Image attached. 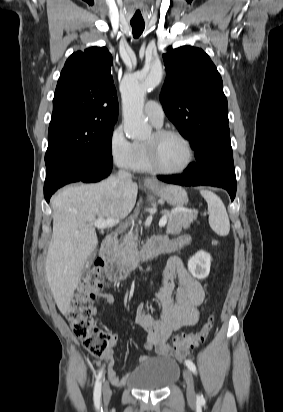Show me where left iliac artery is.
Returning a JSON list of instances; mask_svg holds the SVG:
<instances>
[{
    "mask_svg": "<svg viewBox=\"0 0 283 412\" xmlns=\"http://www.w3.org/2000/svg\"><path fill=\"white\" fill-rule=\"evenodd\" d=\"M185 364H186V366H187L194 374H197L196 366H195V364H194L191 360H186V361H185ZM197 400H198L199 402H204V398H203L202 395H199L198 398H197Z\"/></svg>",
    "mask_w": 283,
    "mask_h": 412,
    "instance_id": "44dca946",
    "label": "left iliac artery"
}]
</instances>
